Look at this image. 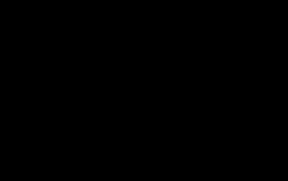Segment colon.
Returning <instances> with one entry per match:
<instances>
[{"instance_id": "colon-1", "label": "colon", "mask_w": 288, "mask_h": 181, "mask_svg": "<svg viewBox=\"0 0 288 181\" xmlns=\"http://www.w3.org/2000/svg\"><path fill=\"white\" fill-rule=\"evenodd\" d=\"M213 32H214L215 34L219 33V31H218V30H213Z\"/></svg>"}]
</instances>
